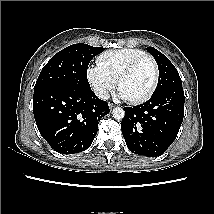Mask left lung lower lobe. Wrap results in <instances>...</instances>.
Returning <instances> with one entry per match:
<instances>
[{"label":"left lung lower lobe","instance_id":"0a47b994","mask_svg":"<svg viewBox=\"0 0 214 214\" xmlns=\"http://www.w3.org/2000/svg\"><path fill=\"white\" fill-rule=\"evenodd\" d=\"M184 102L182 86H172L141 105L125 107L121 129L128 149L148 157L163 154L179 132Z\"/></svg>","mask_w":214,"mask_h":214}]
</instances>
